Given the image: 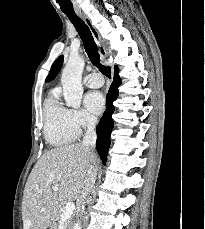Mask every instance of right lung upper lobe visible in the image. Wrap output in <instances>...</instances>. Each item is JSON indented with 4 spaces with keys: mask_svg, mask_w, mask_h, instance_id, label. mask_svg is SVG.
<instances>
[{
    "mask_svg": "<svg viewBox=\"0 0 205 229\" xmlns=\"http://www.w3.org/2000/svg\"><path fill=\"white\" fill-rule=\"evenodd\" d=\"M63 64V56H59L57 58V60L53 63L49 75L46 78V81H51L55 78V76L57 75V73L59 72L61 66Z\"/></svg>",
    "mask_w": 205,
    "mask_h": 229,
    "instance_id": "obj_1",
    "label": "right lung upper lobe"
}]
</instances>
